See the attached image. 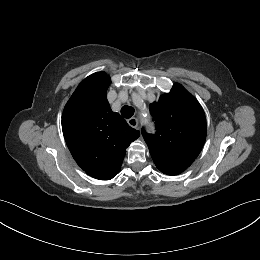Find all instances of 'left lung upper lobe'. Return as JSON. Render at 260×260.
Listing matches in <instances>:
<instances>
[{"mask_svg": "<svg viewBox=\"0 0 260 260\" xmlns=\"http://www.w3.org/2000/svg\"><path fill=\"white\" fill-rule=\"evenodd\" d=\"M157 132L142 130L156 167L177 175L197 158L206 139V118L199 102L180 84L150 104Z\"/></svg>", "mask_w": 260, "mask_h": 260, "instance_id": "1", "label": "left lung upper lobe"}]
</instances>
